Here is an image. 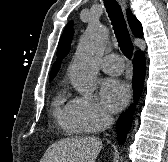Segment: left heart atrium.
I'll return each mask as SVG.
<instances>
[{
    "label": "left heart atrium",
    "instance_id": "39dd6f15",
    "mask_svg": "<svg viewBox=\"0 0 168 162\" xmlns=\"http://www.w3.org/2000/svg\"><path fill=\"white\" fill-rule=\"evenodd\" d=\"M101 98L106 109L111 112H118L129 101L130 91L123 81L109 78L102 83Z\"/></svg>",
    "mask_w": 168,
    "mask_h": 162
}]
</instances>
